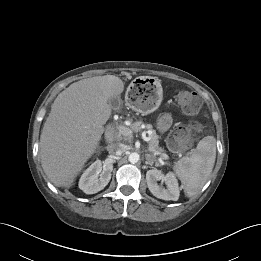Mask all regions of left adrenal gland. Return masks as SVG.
Segmentation results:
<instances>
[{"instance_id": "1", "label": "left adrenal gland", "mask_w": 261, "mask_h": 261, "mask_svg": "<svg viewBox=\"0 0 261 261\" xmlns=\"http://www.w3.org/2000/svg\"><path fill=\"white\" fill-rule=\"evenodd\" d=\"M146 164H150V165H152V164H153V161L151 160V158H150V155H149V154H146Z\"/></svg>"}]
</instances>
